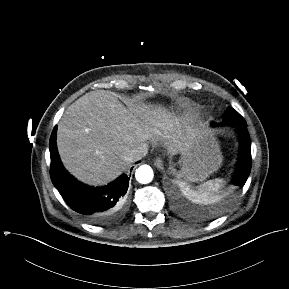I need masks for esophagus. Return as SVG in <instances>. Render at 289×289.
<instances>
[{
    "instance_id": "obj_1",
    "label": "esophagus",
    "mask_w": 289,
    "mask_h": 289,
    "mask_svg": "<svg viewBox=\"0 0 289 289\" xmlns=\"http://www.w3.org/2000/svg\"><path fill=\"white\" fill-rule=\"evenodd\" d=\"M154 165L156 168H158L159 170H162L164 168V163L163 160L161 158H156L154 160Z\"/></svg>"
}]
</instances>
